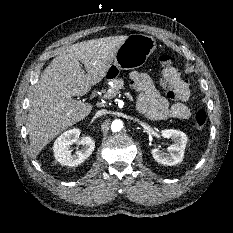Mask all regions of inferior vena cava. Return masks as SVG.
Masks as SVG:
<instances>
[{"label": "inferior vena cava", "mask_w": 233, "mask_h": 233, "mask_svg": "<svg viewBox=\"0 0 233 233\" xmlns=\"http://www.w3.org/2000/svg\"><path fill=\"white\" fill-rule=\"evenodd\" d=\"M106 113H107L106 110H99V111L97 112V116H101V115L106 114Z\"/></svg>", "instance_id": "602c4592"}]
</instances>
